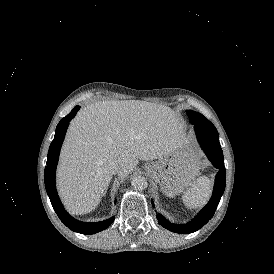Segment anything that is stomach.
Instances as JSON below:
<instances>
[{
	"instance_id": "1",
	"label": "stomach",
	"mask_w": 274,
	"mask_h": 274,
	"mask_svg": "<svg viewBox=\"0 0 274 274\" xmlns=\"http://www.w3.org/2000/svg\"><path fill=\"white\" fill-rule=\"evenodd\" d=\"M147 175L158 184L163 193L173 196L181 193L196 177L199 171L197 153L190 143L183 139L167 156L148 163Z\"/></svg>"
}]
</instances>
